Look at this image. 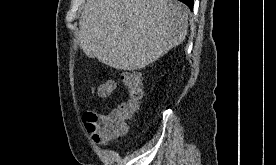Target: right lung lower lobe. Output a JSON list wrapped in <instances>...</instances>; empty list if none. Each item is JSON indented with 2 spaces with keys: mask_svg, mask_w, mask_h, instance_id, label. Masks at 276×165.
<instances>
[{
  "mask_svg": "<svg viewBox=\"0 0 276 165\" xmlns=\"http://www.w3.org/2000/svg\"><path fill=\"white\" fill-rule=\"evenodd\" d=\"M185 3L191 10L193 9V0H179Z\"/></svg>",
  "mask_w": 276,
  "mask_h": 165,
  "instance_id": "obj_1",
  "label": "right lung lower lobe"
}]
</instances>
